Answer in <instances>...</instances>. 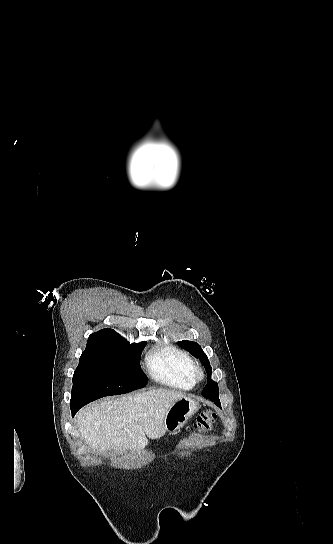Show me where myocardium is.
<instances>
[{
	"label": "myocardium",
	"instance_id": "myocardium-1",
	"mask_svg": "<svg viewBox=\"0 0 333 544\" xmlns=\"http://www.w3.org/2000/svg\"><path fill=\"white\" fill-rule=\"evenodd\" d=\"M191 375H192V379L194 380V382L200 381L204 377V370H203V368L201 366L194 365V367L192 368V371H191Z\"/></svg>",
	"mask_w": 333,
	"mask_h": 544
}]
</instances>
